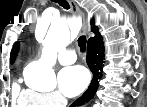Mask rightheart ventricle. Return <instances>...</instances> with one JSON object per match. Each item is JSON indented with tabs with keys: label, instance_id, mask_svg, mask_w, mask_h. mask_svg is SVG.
Instances as JSON below:
<instances>
[{
	"label": "right heart ventricle",
	"instance_id": "e07e8e85",
	"mask_svg": "<svg viewBox=\"0 0 147 107\" xmlns=\"http://www.w3.org/2000/svg\"><path fill=\"white\" fill-rule=\"evenodd\" d=\"M12 100L16 107L39 105V94L30 89H23L18 83L12 86Z\"/></svg>",
	"mask_w": 147,
	"mask_h": 107
}]
</instances>
